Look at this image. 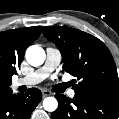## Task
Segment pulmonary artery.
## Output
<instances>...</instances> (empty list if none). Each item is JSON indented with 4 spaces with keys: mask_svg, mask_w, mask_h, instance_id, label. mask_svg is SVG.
I'll return each mask as SVG.
<instances>
[{
    "mask_svg": "<svg viewBox=\"0 0 119 119\" xmlns=\"http://www.w3.org/2000/svg\"><path fill=\"white\" fill-rule=\"evenodd\" d=\"M61 58V53L57 48L48 47L46 49V60L44 65L38 70H35L32 73L15 80L13 86H33L42 82L52 71H54L58 67L61 62ZM68 95L70 97H74L75 91L70 90L68 92Z\"/></svg>",
    "mask_w": 119,
    "mask_h": 119,
    "instance_id": "1",
    "label": "pulmonary artery"
}]
</instances>
